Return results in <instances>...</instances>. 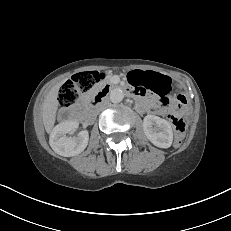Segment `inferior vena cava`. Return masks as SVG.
<instances>
[{
    "mask_svg": "<svg viewBox=\"0 0 231 231\" xmlns=\"http://www.w3.org/2000/svg\"><path fill=\"white\" fill-rule=\"evenodd\" d=\"M107 104V101H104L103 105L100 107L102 109Z\"/></svg>",
    "mask_w": 231,
    "mask_h": 231,
    "instance_id": "inferior-vena-cava-1",
    "label": "inferior vena cava"
}]
</instances>
